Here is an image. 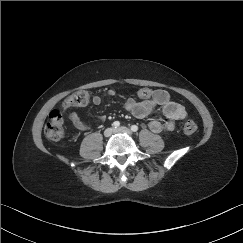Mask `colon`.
Masks as SVG:
<instances>
[{"label": "colon", "mask_w": 243, "mask_h": 243, "mask_svg": "<svg viewBox=\"0 0 243 243\" xmlns=\"http://www.w3.org/2000/svg\"><path fill=\"white\" fill-rule=\"evenodd\" d=\"M89 101L90 92L87 89H80L63 101L62 110L67 111L74 107L85 106ZM183 129L186 134L191 135L196 132L197 124L194 121H187ZM44 134L52 141H59L64 137V118L61 109H55L50 113L49 121L44 127Z\"/></svg>", "instance_id": "colon-1"}]
</instances>
